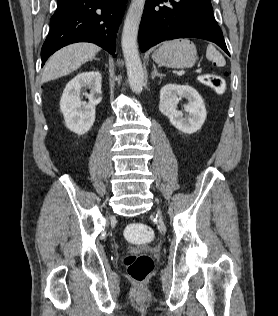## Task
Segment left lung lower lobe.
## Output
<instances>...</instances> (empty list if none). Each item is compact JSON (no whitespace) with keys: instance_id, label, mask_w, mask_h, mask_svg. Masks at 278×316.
<instances>
[{"instance_id":"obj_1","label":"left lung lower lobe","mask_w":278,"mask_h":316,"mask_svg":"<svg viewBox=\"0 0 278 316\" xmlns=\"http://www.w3.org/2000/svg\"><path fill=\"white\" fill-rule=\"evenodd\" d=\"M169 2L170 6L159 5ZM176 38H199L216 43L228 55L222 31L207 0H146L139 29V47Z\"/></svg>"}]
</instances>
